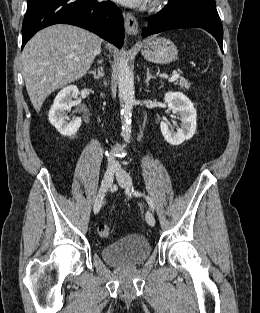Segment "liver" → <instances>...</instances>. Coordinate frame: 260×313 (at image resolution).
Instances as JSON below:
<instances>
[{"label": "liver", "mask_w": 260, "mask_h": 313, "mask_svg": "<svg viewBox=\"0 0 260 313\" xmlns=\"http://www.w3.org/2000/svg\"><path fill=\"white\" fill-rule=\"evenodd\" d=\"M96 34L72 25L39 31L23 49V78L31 103L39 112L45 99L83 77L100 51Z\"/></svg>", "instance_id": "1"}]
</instances>
